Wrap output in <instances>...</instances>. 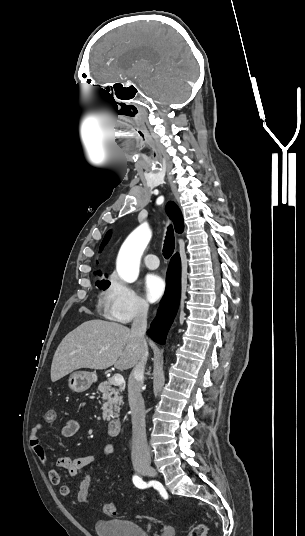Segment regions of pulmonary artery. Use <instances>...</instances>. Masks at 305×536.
<instances>
[{
  "instance_id": "pulmonary-artery-1",
  "label": "pulmonary artery",
  "mask_w": 305,
  "mask_h": 536,
  "mask_svg": "<svg viewBox=\"0 0 305 536\" xmlns=\"http://www.w3.org/2000/svg\"><path fill=\"white\" fill-rule=\"evenodd\" d=\"M154 260H156V256L152 253L146 254L143 258L145 266L150 270H155L159 267V263Z\"/></svg>"
}]
</instances>
